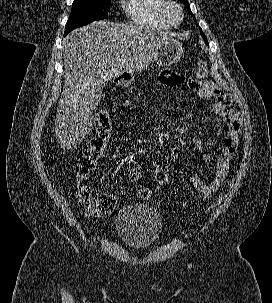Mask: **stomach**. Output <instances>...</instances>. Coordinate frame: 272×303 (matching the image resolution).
<instances>
[{
	"label": "stomach",
	"mask_w": 272,
	"mask_h": 303,
	"mask_svg": "<svg viewBox=\"0 0 272 303\" xmlns=\"http://www.w3.org/2000/svg\"><path fill=\"white\" fill-rule=\"evenodd\" d=\"M182 54V44L176 39L168 38L159 45L154 61L160 67H167L177 63L181 59ZM131 82V80L122 82L121 86L127 87Z\"/></svg>",
	"instance_id": "stomach-1"
}]
</instances>
